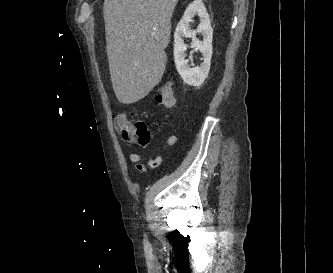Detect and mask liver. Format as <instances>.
Instances as JSON below:
<instances>
[{
	"mask_svg": "<svg viewBox=\"0 0 333 273\" xmlns=\"http://www.w3.org/2000/svg\"><path fill=\"white\" fill-rule=\"evenodd\" d=\"M179 0H105L106 50L119 102L149 94L165 72L171 18Z\"/></svg>",
	"mask_w": 333,
	"mask_h": 273,
	"instance_id": "liver-1",
	"label": "liver"
}]
</instances>
